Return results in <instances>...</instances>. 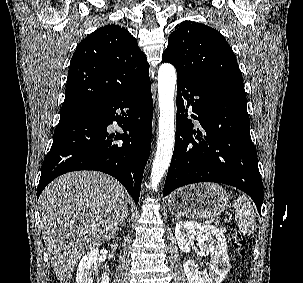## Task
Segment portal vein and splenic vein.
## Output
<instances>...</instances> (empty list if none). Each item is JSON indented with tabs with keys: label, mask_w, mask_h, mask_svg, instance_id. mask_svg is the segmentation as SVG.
Wrapping results in <instances>:
<instances>
[{
	"label": "portal vein and splenic vein",
	"mask_w": 303,
	"mask_h": 283,
	"mask_svg": "<svg viewBox=\"0 0 303 283\" xmlns=\"http://www.w3.org/2000/svg\"><path fill=\"white\" fill-rule=\"evenodd\" d=\"M212 221H213V222H215L216 224H218V223H219V221H218V220H216V219H213Z\"/></svg>",
	"instance_id": "obj_1"
}]
</instances>
